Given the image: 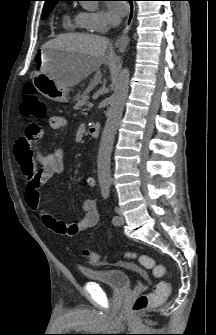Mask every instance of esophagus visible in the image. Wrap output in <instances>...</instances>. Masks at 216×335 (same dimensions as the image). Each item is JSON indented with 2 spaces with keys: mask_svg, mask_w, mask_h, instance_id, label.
<instances>
[{
  "mask_svg": "<svg viewBox=\"0 0 216 335\" xmlns=\"http://www.w3.org/2000/svg\"><path fill=\"white\" fill-rule=\"evenodd\" d=\"M134 16H135V5H130L129 14H128V17H127L126 23H125V28L123 30L122 35L116 41V46L120 50H125L126 47L129 44L130 39H129L127 34H128V31L130 30L131 25L133 23Z\"/></svg>",
  "mask_w": 216,
  "mask_h": 335,
  "instance_id": "obj_1",
  "label": "esophagus"
}]
</instances>
